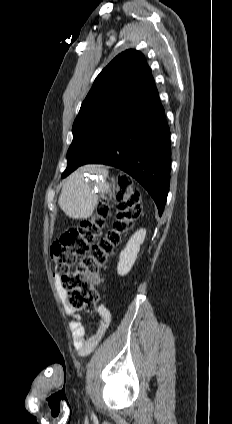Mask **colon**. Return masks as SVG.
<instances>
[{
  "instance_id": "5ec220e1",
  "label": "colon",
  "mask_w": 232,
  "mask_h": 424,
  "mask_svg": "<svg viewBox=\"0 0 232 424\" xmlns=\"http://www.w3.org/2000/svg\"><path fill=\"white\" fill-rule=\"evenodd\" d=\"M115 199L118 202L117 218L113 228L105 235L110 205L106 198H102L92 218L52 244L55 273L65 291L67 304L74 309L88 313L95 310L99 301L96 288L99 272L142 213L137 189L124 187L116 193Z\"/></svg>"
}]
</instances>
